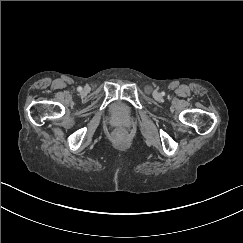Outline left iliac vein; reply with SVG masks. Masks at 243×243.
I'll return each mask as SVG.
<instances>
[{
  "mask_svg": "<svg viewBox=\"0 0 243 243\" xmlns=\"http://www.w3.org/2000/svg\"><path fill=\"white\" fill-rule=\"evenodd\" d=\"M156 97H157V98H159V97H160V95L157 93V94H156Z\"/></svg>",
  "mask_w": 243,
  "mask_h": 243,
  "instance_id": "obj_1",
  "label": "left iliac vein"
}]
</instances>
